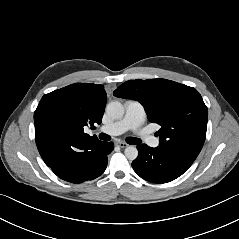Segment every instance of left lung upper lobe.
Masks as SVG:
<instances>
[{"label":"left lung upper lobe","instance_id":"5c2ea615","mask_svg":"<svg viewBox=\"0 0 239 239\" xmlns=\"http://www.w3.org/2000/svg\"><path fill=\"white\" fill-rule=\"evenodd\" d=\"M114 96L139 101L149 121L158 123L159 146L196 159L207 129L208 110L201 95L189 87L166 79L129 80Z\"/></svg>","mask_w":239,"mask_h":239}]
</instances>
